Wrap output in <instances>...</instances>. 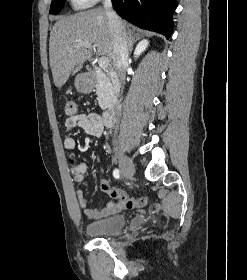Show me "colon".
Returning <instances> with one entry per match:
<instances>
[{
	"instance_id": "1",
	"label": "colon",
	"mask_w": 247,
	"mask_h": 280,
	"mask_svg": "<svg viewBox=\"0 0 247 280\" xmlns=\"http://www.w3.org/2000/svg\"><path fill=\"white\" fill-rule=\"evenodd\" d=\"M77 112V105L74 101H67L65 104V113L68 116H74ZM74 161L71 160V165H74ZM138 202L136 200L131 201V205H136Z\"/></svg>"
}]
</instances>
